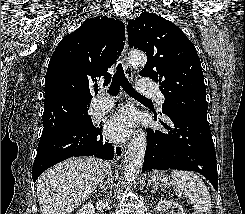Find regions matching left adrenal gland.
<instances>
[{"mask_svg": "<svg viewBox=\"0 0 245 214\" xmlns=\"http://www.w3.org/2000/svg\"><path fill=\"white\" fill-rule=\"evenodd\" d=\"M147 186H150V183L148 182ZM155 189V188H154ZM156 190V189H155Z\"/></svg>", "mask_w": 245, "mask_h": 214, "instance_id": "obj_1", "label": "left adrenal gland"}]
</instances>
